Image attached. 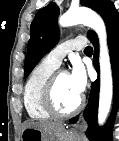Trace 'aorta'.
Returning a JSON list of instances; mask_svg holds the SVG:
<instances>
[{
  "label": "aorta",
  "mask_w": 119,
  "mask_h": 141,
  "mask_svg": "<svg viewBox=\"0 0 119 141\" xmlns=\"http://www.w3.org/2000/svg\"><path fill=\"white\" fill-rule=\"evenodd\" d=\"M62 27L84 24L92 28L99 37L100 42V96L98 108V122L103 124L110 111L113 94V80L107 47L106 27L102 18L94 11L87 8L69 9L59 18Z\"/></svg>",
  "instance_id": "obj_1"
}]
</instances>
